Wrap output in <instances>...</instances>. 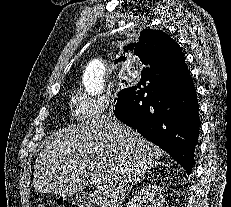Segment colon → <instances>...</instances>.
<instances>
[{
	"mask_svg": "<svg viewBox=\"0 0 231 207\" xmlns=\"http://www.w3.org/2000/svg\"><path fill=\"white\" fill-rule=\"evenodd\" d=\"M36 207H46L44 204H38ZM51 207H81V205L71 199L67 198H59L55 202V204Z\"/></svg>",
	"mask_w": 231,
	"mask_h": 207,
	"instance_id": "1",
	"label": "colon"
}]
</instances>
